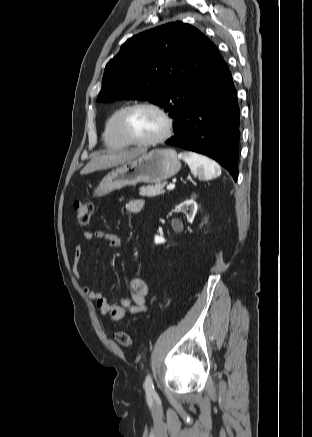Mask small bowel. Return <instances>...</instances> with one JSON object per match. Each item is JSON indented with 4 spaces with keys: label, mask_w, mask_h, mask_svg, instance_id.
Masks as SVG:
<instances>
[{
    "label": "small bowel",
    "mask_w": 312,
    "mask_h": 437,
    "mask_svg": "<svg viewBox=\"0 0 312 437\" xmlns=\"http://www.w3.org/2000/svg\"><path fill=\"white\" fill-rule=\"evenodd\" d=\"M143 206L144 200L141 198H136L132 199L126 204V210L129 213H138L142 210ZM85 237L87 241H91L93 239H103L112 248H118L122 245V240L118 235L103 230H98L94 233L87 232ZM81 251L82 248L79 244L76 246V257L73 265V272L77 278L80 277L78 262ZM130 286V296L122 301L121 304H111L102 292L94 290L88 286L84 287V291L90 299L96 302L101 315L108 316L112 320L119 321L122 320L128 313L137 314L147 310V282L141 277H134L131 279Z\"/></svg>",
    "instance_id": "obj_1"
}]
</instances>
